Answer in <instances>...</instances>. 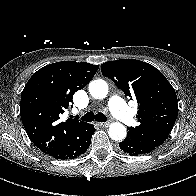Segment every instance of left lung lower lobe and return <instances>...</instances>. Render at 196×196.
Here are the masks:
<instances>
[{"instance_id":"1","label":"left lung lower lobe","mask_w":196,"mask_h":196,"mask_svg":"<svg viewBox=\"0 0 196 196\" xmlns=\"http://www.w3.org/2000/svg\"><path fill=\"white\" fill-rule=\"evenodd\" d=\"M119 147L125 153H128L131 156H138L146 153L152 152L156 147L146 144L137 140L136 138L127 135L125 140H123Z\"/></svg>"}]
</instances>
